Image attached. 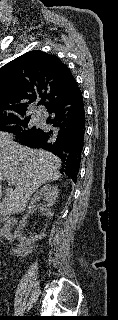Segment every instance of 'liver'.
<instances>
[{
	"label": "liver",
	"mask_w": 118,
	"mask_h": 320,
	"mask_svg": "<svg viewBox=\"0 0 118 320\" xmlns=\"http://www.w3.org/2000/svg\"><path fill=\"white\" fill-rule=\"evenodd\" d=\"M60 166L61 160L51 152L20 145L11 134L0 132V182H15L14 189H5V197L0 202V214L22 212L31 195L41 185L60 178Z\"/></svg>",
	"instance_id": "1"
}]
</instances>
